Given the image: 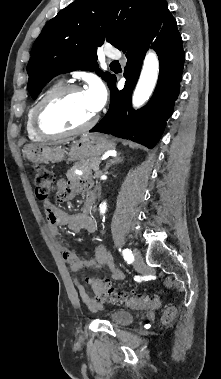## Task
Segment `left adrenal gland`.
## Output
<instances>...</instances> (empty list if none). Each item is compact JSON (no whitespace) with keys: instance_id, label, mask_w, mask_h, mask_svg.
I'll use <instances>...</instances> for the list:
<instances>
[{"instance_id":"a2214340","label":"left adrenal gland","mask_w":221,"mask_h":379,"mask_svg":"<svg viewBox=\"0 0 221 379\" xmlns=\"http://www.w3.org/2000/svg\"><path fill=\"white\" fill-rule=\"evenodd\" d=\"M120 155V154H119ZM116 156L115 158H112L110 159L107 163H106V166L105 168L103 169V171H106L108 168H110L113 164H118V163H121L123 161V158H121L120 156Z\"/></svg>"}]
</instances>
